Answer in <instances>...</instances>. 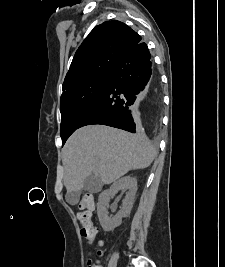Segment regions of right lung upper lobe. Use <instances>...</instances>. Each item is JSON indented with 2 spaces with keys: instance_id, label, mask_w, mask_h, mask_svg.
<instances>
[{
  "instance_id": "right-lung-upper-lobe-1",
  "label": "right lung upper lobe",
  "mask_w": 225,
  "mask_h": 267,
  "mask_svg": "<svg viewBox=\"0 0 225 267\" xmlns=\"http://www.w3.org/2000/svg\"><path fill=\"white\" fill-rule=\"evenodd\" d=\"M140 42V35L117 20L94 27L75 53L63 90L83 80L111 73L122 54Z\"/></svg>"
}]
</instances>
